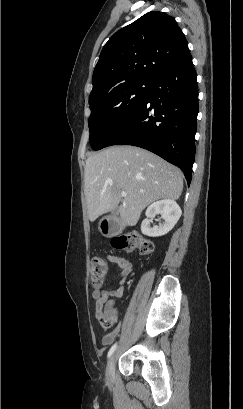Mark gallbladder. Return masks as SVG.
I'll use <instances>...</instances> for the list:
<instances>
[{
    "instance_id": "obj_1",
    "label": "gallbladder",
    "mask_w": 243,
    "mask_h": 409,
    "mask_svg": "<svg viewBox=\"0 0 243 409\" xmlns=\"http://www.w3.org/2000/svg\"><path fill=\"white\" fill-rule=\"evenodd\" d=\"M118 215V207L112 212V216H117Z\"/></svg>"
}]
</instances>
